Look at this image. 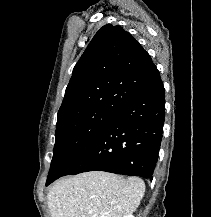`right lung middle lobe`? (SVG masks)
Wrapping results in <instances>:
<instances>
[{"mask_svg": "<svg viewBox=\"0 0 211 217\" xmlns=\"http://www.w3.org/2000/svg\"><path fill=\"white\" fill-rule=\"evenodd\" d=\"M117 112L97 111L56 126L53 159L47 180L61 177L100 137Z\"/></svg>", "mask_w": 211, "mask_h": 217, "instance_id": "right-lung-middle-lobe-1", "label": "right lung middle lobe"}]
</instances>
